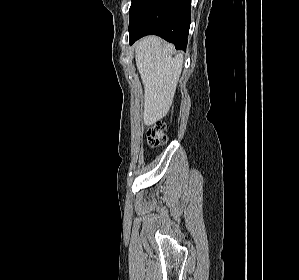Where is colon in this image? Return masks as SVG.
Wrapping results in <instances>:
<instances>
[{
  "instance_id": "5ec220e1",
  "label": "colon",
  "mask_w": 299,
  "mask_h": 280,
  "mask_svg": "<svg viewBox=\"0 0 299 280\" xmlns=\"http://www.w3.org/2000/svg\"><path fill=\"white\" fill-rule=\"evenodd\" d=\"M147 142L151 148H158L167 142L164 123L157 122L149 129L147 132Z\"/></svg>"
}]
</instances>
